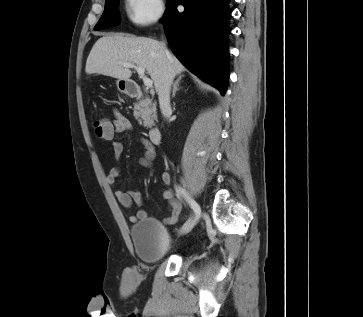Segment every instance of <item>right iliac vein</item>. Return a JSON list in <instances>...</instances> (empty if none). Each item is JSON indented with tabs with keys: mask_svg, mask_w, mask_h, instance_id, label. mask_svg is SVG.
<instances>
[{
	"mask_svg": "<svg viewBox=\"0 0 363 317\" xmlns=\"http://www.w3.org/2000/svg\"><path fill=\"white\" fill-rule=\"evenodd\" d=\"M194 220H191V221H189L188 223H186L182 228H181V230L179 231V234H186V233H188L191 229H192V227L194 226Z\"/></svg>",
	"mask_w": 363,
	"mask_h": 317,
	"instance_id": "right-iliac-vein-1",
	"label": "right iliac vein"
}]
</instances>
